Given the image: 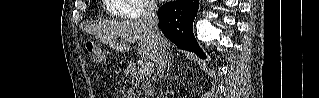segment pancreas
<instances>
[{"mask_svg":"<svg viewBox=\"0 0 319 98\" xmlns=\"http://www.w3.org/2000/svg\"><path fill=\"white\" fill-rule=\"evenodd\" d=\"M127 74L132 78V82H135L136 92L138 95L145 94V97L151 95L152 85L150 83L149 74H142L140 70H137L134 63L129 64Z\"/></svg>","mask_w":319,"mask_h":98,"instance_id":"pancreas-1","label":"pancreas"}]
</instances>
